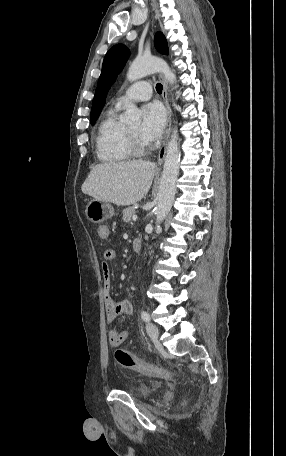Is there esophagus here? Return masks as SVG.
Segmentation results:
<instances>
[{
    "instance_id": "34e87169",
    "label": "esophagus",
    "mask_w": 286,
    "mask_h": 456,
    "mask_svg": "<svg viewBox=\"0 0 286 456\" xmlns=\"http://www.w3.org/2000/svg\"><path fill=\"white\" fill-rule=\"evenodd\" d=\"M160 79H161V82L163 84V93H162V97H163V101H164V104H165V107H166V110H167V123H166V132H165V139L163 141V144L159 150V154H158V165H161L164 161V158H165V154H166V149H167V144H168V140H169V136H170V129H171V108H170V104H169V101H168V88H167V83H166V80L165 78L163 77V75H160Z\"/></svg>"
}]
</instances>
